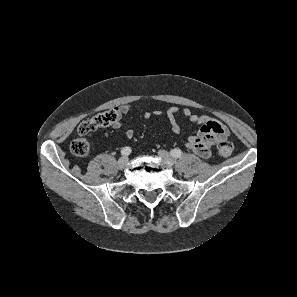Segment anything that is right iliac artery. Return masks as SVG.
<instances>
[{"label": "right iliac artery", "mask_w": 297, "mask_h": 297, "mask_svg": "<svg viewBox=\"0 0 297 297\" xmlns=\"http://www.w3.org/2000/svg\"><path fill=\"white\" fill-rule=\"evenodd\" d=\"M130 153H131V148L130 147H124L121 150V154L123 156H128V155H130Z\"/></svg>", "instance_id": "obj_1"}]
</instances>
